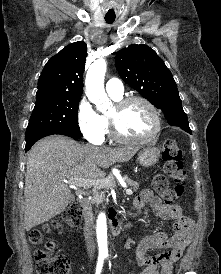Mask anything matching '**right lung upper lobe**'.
I'll list each match as a JSON object with an SVG mask.
<instances>
[{
  "mask_svg": "<svg viewBox=\"0 0 221 274\" xmlns=\"http://www.w3.org/2000/svg\"><path fill=\"white\" fill-rule=\"evenodd\" d=\"M87 45L78 41L66 46L45 65L39 80L36 99L81 96Z\"/></svg>",
  "mask_w": 221,
  "mask_h": 274,
  "instance_id": "obj_1",
  "label": "right lung upper lobe"
}]
</instances>
